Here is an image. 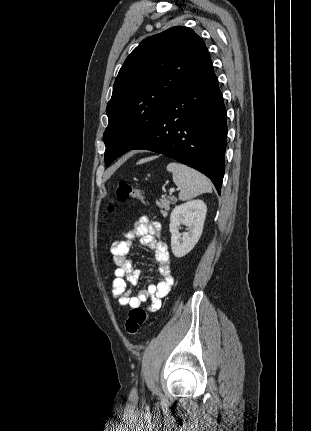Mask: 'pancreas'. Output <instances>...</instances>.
<instances>
[{"instance_id": "1", "label": "pancreas", "mask_w": 311, "mask_h": 431, "mask_svg": "<svg viewBox=\"0 0 311 431\" xmlns=\"http://www.w3.org/2000/svg\"><path fill=\"white\" fill-rule=\"evenodd\" d=\"M178 202L175 196H168V198H163L160 202H156L158 208H161L160 212L164 217L168 216V210H171V204Z\"/></svg>"}]
</instances>
